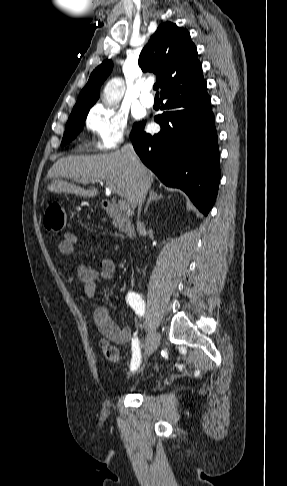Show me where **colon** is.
<instances>
[{"mask_svg": "<svg viewBox=\"0 0 287 486\" xmlns=\"http://www.w3.org/2000/svg\"><path fill=\"white\" fill-rule=\"evenodd\" d=\"M66 223V214L63 206L56 200H49L44 207V225L52 232L61 231ZM102 353L105 359L109 362H117L119 360L118 349L111 345L107 340L103 339L100 342Z\"/></svg>", "mask_w": 287, "mask_h": 486, "instance_id": "5ec220e1", "label": "colon"}]
</instances>
